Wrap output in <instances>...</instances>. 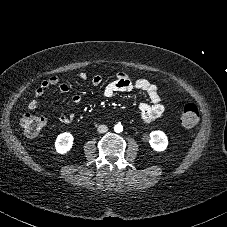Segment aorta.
I'll return each instance as SVG.
<instances>
[{"label":"aorta","mask_w":227,"mask_h":227,"mask_svg":"<svg viewBox=\"0 0 227 227\" xmlns=\"http://www.w3.org/2000/svg\"><path fill=\"white\" fill-rule=\"evenodd\" d=\"M114 131L116 133H121L123 131V126L121 124H117L114 126Z\"/></svg>","instance_id":"1"}]
</instances>
